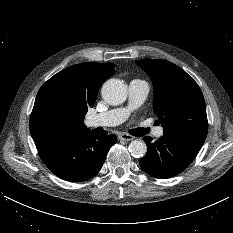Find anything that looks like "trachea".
<instances>
[{"instance_id":"trachea-1","label":"trachea","mask_w":233,"mask_h":233,"mask_svg":"<svg viewBox=\"0 0 233 233\" xmlns=\"http://www.w3.org/2000/svg\"><path fill=\"white\" fill-rule=\"evenodd\" d=\"M149 128H142V127H140V128H136V129H132L131 130V134L133 135V136H143V135H145V134H148L149 133Z\"/></svg>"}]
</instances>
